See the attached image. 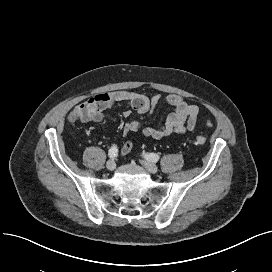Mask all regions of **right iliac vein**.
Masks as SVG:
<instances>
[{
    "label": "right iliac vein",
    "mask_w": 272,
    "mask_h": 272,
    "mask_svg": "<svg viewBox=\"0 0 272 272\" xmlns=\"http://www.w3.org/2000/svg\"><path fill=\"white\" fill-rule=\"evenodd\" d=\"M116 167V163L113 159H110L107 161L106 163V168L109 170V171H113Z\"/></svg>",
    "instance_id": "right-iliac-vein-1"
}]
</instances>
